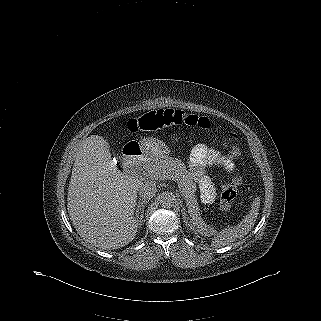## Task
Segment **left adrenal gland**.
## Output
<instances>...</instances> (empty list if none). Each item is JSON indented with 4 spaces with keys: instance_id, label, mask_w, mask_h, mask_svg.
<instances>
[{
    "instance_id": "obj_1",
    "label": "left adrenal gland",
    "mask_w": 321,
    "mask_h": 321,
    "mask_svg": "<svg viewBox=\"0 0 321 321\" xmlns=\"http://www.w3.org/2000/svg\"><path fill=\"white\" fill-rule=\"evenodd\" d=\"M187 214L184 212L183 213V219H184V222L187 224L188 223V220H187ZM188 227H190V225L188 224Z\"/></svg>"
}]
</instances>
